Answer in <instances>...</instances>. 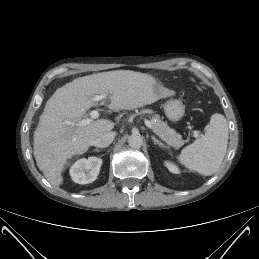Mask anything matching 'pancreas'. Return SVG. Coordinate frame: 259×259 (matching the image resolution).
Segmentation results:
<instances>
[{
	"label": "pancreas",
	"instance_id": "pancreas-1",
	"mask_svg": "<svg viewBox=\"0 0 259 259\" xmlns=\"http://www.w3.org/2000/svg\"><path fill=\"white\" fill-rule=\"evenodd\" d=\"M143 113H151L149 110L143 111ZM156 121L152 122L155 133L159 135L168 145L174 148H180L185 141L181 135L177 134L174 129H171L165 122H163L159 115L154 116Z\"/></svg>",
	"mask_w": 259,
	"mask_h": 259
}]
</instances>
